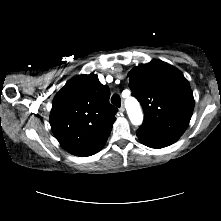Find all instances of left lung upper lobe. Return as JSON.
Masks as SVG:
<instances>
[{
  "label": "left lung upper lobe",
  "mask_w": 221,
  "mask_h": 221,
  "mask_svg": "<svg viewBox=\"0 0 221 221\" xmlns=\"http://www.w3.org/2000/svg\"><path fill=\"white\" fill-rule=\"evenodd\" d=\"M128 76L133 96L142 104L145 114L140 128L179 138L194 109L193 93L181 71L152 60L136 66Z\"/></svg>",
  "instance_id": "obj_1"
}]
</instances>
